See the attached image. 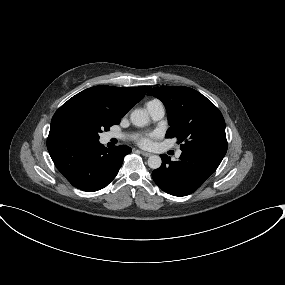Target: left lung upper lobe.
<instances>
[{
    "mask_svg": "<svg viewBox=\"0 0 285 285\" xmlns=\"http://www.w3.org/2000/svg\"><path fill=\"white\" fill-rule=\"evenodd\" d=\"M160 99L170 128L166 138L176 137L182 151H201L225 156V121L218 108L198 91L180 87H155L148 92Z\"/></svg>",
    "mask_w": 285,
    "mask_h": 285,
    "instance_id": "left-lung-upper-lobe-1",
    "label": "left lung upper lobe"
}]
</instances>
